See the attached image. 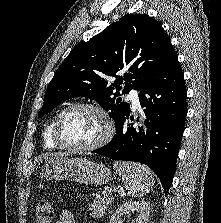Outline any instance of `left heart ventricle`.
I'll return each mask as SVG.
<instances>
[{"label": "left heart ventricle", "mask_w": 221, "mask_h": 223, "mask_svg": "<svg viewBox=\"0 0 221 223\" xmlns=\"http://www.w3.org/2000/svg\"><path fill=\"white\" fill-rule=\"evenodd\" d=\"M105 130V121L98 113L88 109H76L63 118L60 136L67 144L87 146L97 141Z\"/></svg>", "instance_id": "obj_1"}]
</instances>
